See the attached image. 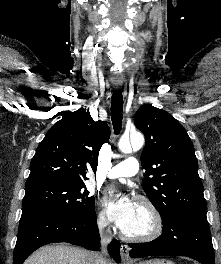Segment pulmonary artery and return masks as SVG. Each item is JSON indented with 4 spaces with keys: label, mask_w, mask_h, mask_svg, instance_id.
Listing matches in <instances>:
<instances>
[{
    "label": "pulmonary artery",
    "mask_w": 221,
    "mask_h": 264,
    "mask_svg": "<svg viewBox=\"0 0 221 264\" xmlns=\"http://www.w3.org/2000/svg\"><path fill=\"white\" fill-rule=\"evenodd\" d=\"M139 171L138 160L134 157H130L112 167L108 174V179H116L122 177H132Z\"/></svg>",
    "instance_id": "1"
}]
</instances>
